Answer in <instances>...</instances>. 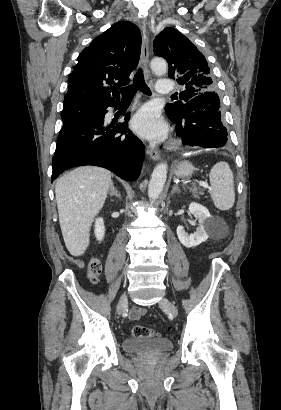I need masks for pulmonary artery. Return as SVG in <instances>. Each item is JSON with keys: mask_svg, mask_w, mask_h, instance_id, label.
<instances>
[{"mask_svg": "<svg viewBox=\"0 0 281 410\" xmlns=\"http://www.w3.org/2000/svg\"><path fill=\"white\" fill-rule=\"evenodd\" d=\"M156 91L160 94H169L173 91V83L170 80L159 81L156 84Z\"/></svg>", "mask_w": 281, "mask_h": 410, "instance_id": "1", "label": "pulmonary artery"}]
</instances>
